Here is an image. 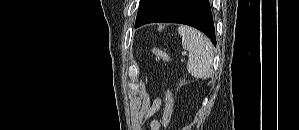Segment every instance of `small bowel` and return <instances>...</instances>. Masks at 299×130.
<instances>
[{
    "mask_svg": "<svg viewBox=\"0 0 299 130\" xmlns=\"http://www.w3.org/2000/svg\"><path fill=\"white\" fill-rule=\"evenodd\" d=\"M160 106H161L160 99H155L151 107L148 109V111L145 114L144 122L149 121V126L151 130H159L160 128L159 122L155 119H151L154 116V114L159 110Z\"/></svg>",
    "mask_w": 299,
    "mask_h": 130,
    "instance_id": "c3829d8e",
    "label": "small bowel"
}]
</instances>
